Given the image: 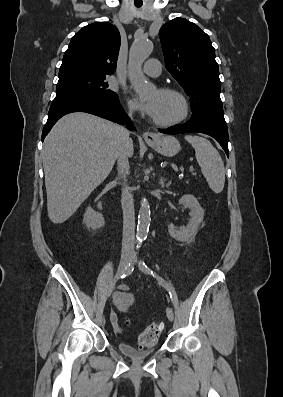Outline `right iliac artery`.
Here are the masks:
<instances>
[{
  "label": "right iliac artery",
  "instance_id": "obj_1",
  "mask_svg": "<svg viewBox=\"0 0 283 397\" xmlns=\"http://www.w3.org/2000/svg\"><path fill=\"white\" fill-rule=\"evenodd\" d=\"M133 270H134L133 264L129 262L128 265L126 266V269L118 279H123L126 276H129L133 272Z\"/></svg>",
  "mask_w": 283,
  "mask_h": 397
}]
</instances>
